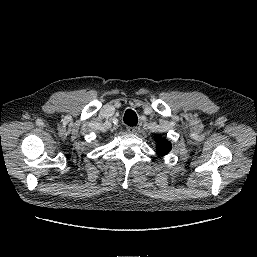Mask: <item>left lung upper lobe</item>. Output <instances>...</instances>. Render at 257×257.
Returning <instances> with one entry per match:
<instances>
[{
	"instance_id": "5c2ea615",
	"label": "left lung upper lobe",
	"mask_w": 257,
	"mask_h": 257,
	"mask_svg": "<svg viewBox=\"0 0 257 257\" xmlns=\"http://www.w3.org/2000/svg\"><path fill=\"white\" fill-rule=\"evenodd\" d=\"M155 141L157 143V154L158 155H165L169 153L171 150V143L167 141L165 138H161V136L156 135Z\"/></svg>"
}]
</instances>
